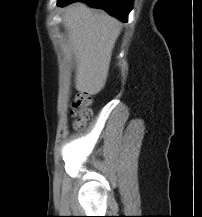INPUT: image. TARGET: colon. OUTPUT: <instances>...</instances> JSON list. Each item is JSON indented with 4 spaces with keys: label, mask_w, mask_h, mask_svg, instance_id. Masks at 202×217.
Listing matches in <instances>:
<instances>
[{
    "label": "colon",
    "mask_w": 202,
    "mask_h": 217,
    "mask_svg": "<svg viewBox=\"0 0 202 217\" xmlns=\"http://www.w3.org/2000/svg\"><path fill=\"white\" fill-rule=\"evenodd\" d=\"M91 103L92 98L89 94L82 92L76 94L72 105V115L75 118L73 127L75 130L83 129L86 122L91 118Z\"/></svg>",
    "instance_id": "obj_1"
}]
</instances>
